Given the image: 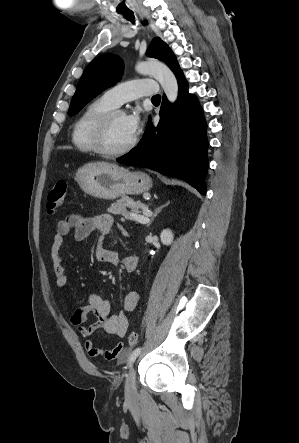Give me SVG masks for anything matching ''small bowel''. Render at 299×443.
<instances>
[{"mask_svg":"<svg viewBox=\"0 0 299 443\" xmlns=\"http://www.w3.org/2000/svg\"><path fill=\"white\" fill-rule=\"evenodd\" d=\"M114 226V219L108 214L93 217L71 214L57 223L50 253L58 288L63 289L68 285L61 258V248L66 237L72 231H74V238L77 241L87 238L93 232L99 233V239L94 250L95 259L98 262L114 265L120 264L127 272H133L137 268L139 262L137 255H128L120 258L116 251L106 246L105 239L109 236ZM118 228L123 234H127L120 226ZM138 300L139 296L135 291L127 292L123 299V310L116 314H111V305L108 300L98 294H90L88 304L75 310L70 316V322L78 328L80 335L84 338H89L99 329H103L109 335L123 338L128 330L127 313L136 309ZM89 312H92L97 320L89 326H84L83 323ZM85 348L91 357L114 360L120 358L124 345L122 342H119L112 349L103 350L96 347L91 339H87Z\"/></svg>","mask_w":299,"mask_h":443,"instance_id":"obj_1","label":"small bowel"}]
</instances>
